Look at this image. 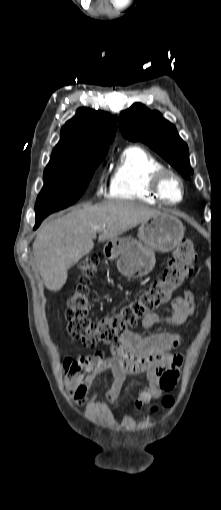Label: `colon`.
<instances>
[{"label": "colon", "instance_id": "5ec220e1", "mask_svg": "<svg viewBox=\"0 0 221 510\" xmlns=\"http://www.w3.org/2000/svg\"><path fill=\"white\" fill-rule=\"evenodd\" d=\"M196 260L193 243L190 240L182 241L161 277L153 280L146 290L118 311L94 321L89 317V285L97 271L99 257L87 256L79 264L78 282L67 304L66 319L70 336L87 347L116 343L123 333L134 328L146 315L171 300L174 292L179 290L191 275ZM173 402V398L166 395L161 400V406L168 408Z\"/></svg>", "mask_w": 221, "mask_h": 510}]
</instances>
